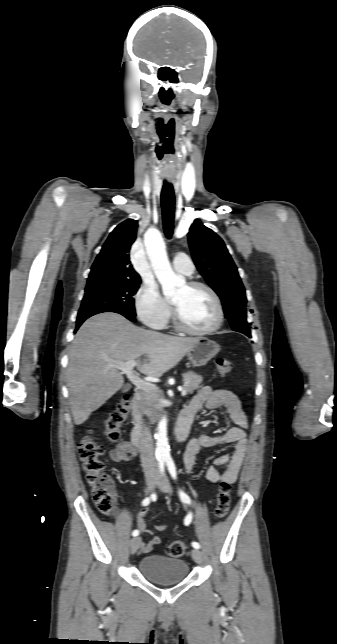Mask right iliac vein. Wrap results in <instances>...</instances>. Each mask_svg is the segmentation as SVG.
Instances as JSON below:
<instances>
[{
  "mask_svg": "<svg viewBox=\"0 0 337 644\" xmlns=\"http://www.w3.org/2000/svg\"><path fill=\"white\" fill-rule=\"evenodd\" d=\"M158 482V478L155 475H150L147 478L148 491L151 492ZM141 538L134 537L130 540V553L134 554L140 546Z\"/></svg>",
  "mask_w": 337,
  "mask_h": 644,
  "instance_id": "right-iliac-vein-1",
  "label": "right iliac vein"
}]
</instances>
